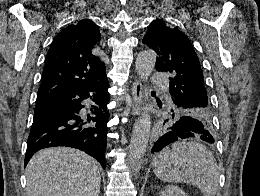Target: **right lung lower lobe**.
Returning a JSON list of instances; mask_svg holds the SVG:
<instances>
[{"instance_id": "98d812e1", "label": "right lung lower lobe", "mask_w": 260, "mask_h": 196, "mask_svg": "<svg viewBox=\"0 0 260 196\" xmlns=\"http://www.w3.org/2000/svg\"><path fill=\"white\" fill-rule=\"evenodd\" d=\"M108 88L106 78L100 83L69 91L36 105L35 112L55 117L32 125L27 141L25 166L40 149L67 146L84 151L105 168L107 122L110 116L106 108L109 101ZM84 100L95 103L91 108H86L91 116L80 114L85 108Z\"/></svg>"}]
</instances>
